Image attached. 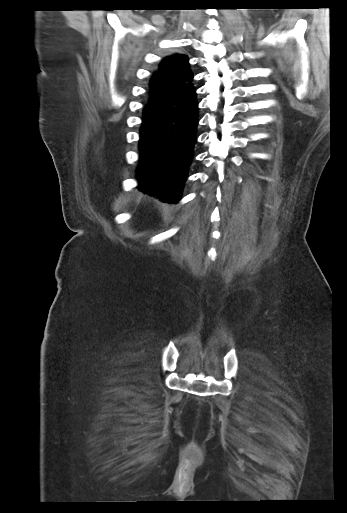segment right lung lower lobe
<instances>
[{"label": "right lung lower lobe", "mask_w": 347, "mask_h": 513, "mask_svg": "<svg viewBox=\"0 0 347 513\" xmlns=\"http://www.w3.org/2000/svg\"><path fill=\"white\" fill-rule=\"evenodd\" d=\"M197 109L191 83L166 97L150 98L139 141V190L164 202L179 200L193 158Z\"/></svg>", "instance_id": "obj_1"}]
</instances>
